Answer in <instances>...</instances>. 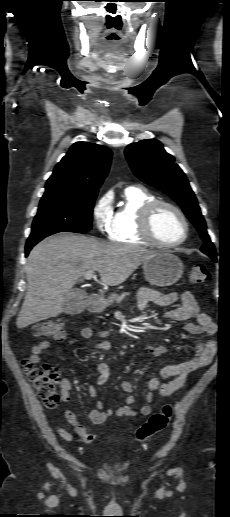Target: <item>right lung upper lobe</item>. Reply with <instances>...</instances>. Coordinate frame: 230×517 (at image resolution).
Returning <instances> with one entry per match:
<instances>
[{
	"instance_id": "right-lung-upper-lobe-1",
	"label": "right lung upper lobe",
	"mask_w": 230,
	"mask_h": 517,
	"mask_svg": "<svg viewBox=\"0 0 230 517\" xmlns=\"http://www.w3.org/2000/svg\"><path fill=\"white\" fill-rule=\"evenodd\" d=\"M111 156L110 149L105 146L74 143L55 166L43 197L97 193L109 171Z\"/></svg>"
}]
</instances>
